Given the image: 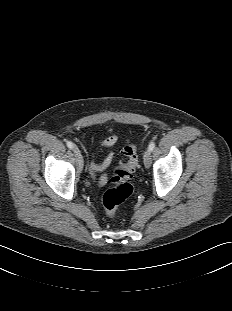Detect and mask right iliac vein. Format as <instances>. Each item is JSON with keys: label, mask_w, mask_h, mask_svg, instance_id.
<instances>
[{"label": "right iliac vein", "mask_w": 232, "mask_h": 311, "mask_svg": "<svg viewBox=\"0 0 232 311\" xmlns=\"http://www.w3.org/2000/svg\"><path fill=\"white\" fill-rule=\"evenodd\" d=\"M74 153H75V156H76V159H77L78 169H79L80 171H82V169H83V163H84L83 157H82L80 151H79L77 148H74Z\"/></svg>", "instance_id": "63e3f726"}]
</instances>
